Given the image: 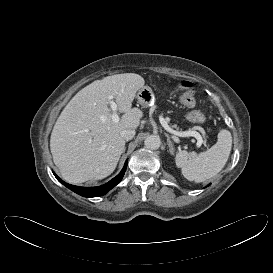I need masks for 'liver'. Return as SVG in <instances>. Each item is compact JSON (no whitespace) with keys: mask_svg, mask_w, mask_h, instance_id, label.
Masks as SVG:
<instances>
[{"mask_svg":"<svg viewBox=\"0 0 273 273\" xmlns=\"http://www.w3.org/2000/svg\"><path fill=\"white\" fill-rule=\"evenodd\" d=\"M144 84L138 74H116L92 82L71 99L50 138L53 161L64 180L72 184L100 180L115 170L125 150L120 132L135 130L143 116L132 102ZM109 96L124 113L117 122L112 120Z\"/></svg>","mask_w":273,"mask_h":273,"instance_id":"1","label":"liver"}]
</instances>
